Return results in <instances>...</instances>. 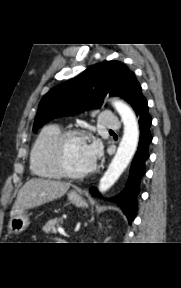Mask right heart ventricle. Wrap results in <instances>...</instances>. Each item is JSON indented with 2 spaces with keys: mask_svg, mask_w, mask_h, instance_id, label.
Segmentation results:
<instances>
[{
  "mask_svg": "<svg viewBox=\"0 0 181 288\" xmlns=\"http://www.w3.org/2000/svg\"><path fill=\"white\" fill-rule=\"evenodd\" d=\"M61 132V126L49 124L42 128L37 136L30 153V169L37 177L42 179L62 177L53 165L51 156L52 145Z\"/></svg>",
  "mask_w": 181,
  "mask_h": 288,
  "instance_id": "obj_1",
  "label": "right heart ventricle"
}]
</instances>
